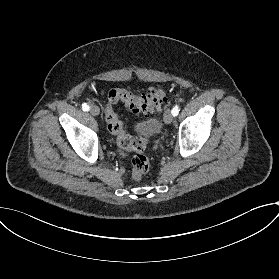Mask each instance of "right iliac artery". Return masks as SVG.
Wrapping results in <instances>:
<instances>
[{
    "label": "right iliac artery",
    "instance_id": "obj_1",
    "mask_svg": "<svg viewBox=\"0 0 279 279\" xmlns=\"http://www.w3.org/2000/svg\"><path fill=\"white\" fill-rule=\"evenodd\" d=\"M82 109H83V111H89L90 107H89V105H87L86 103H84V104L82 105Z\"/></svg>",
    "mask_w": 279,
    "mask_h": 279
}]
</instances>
